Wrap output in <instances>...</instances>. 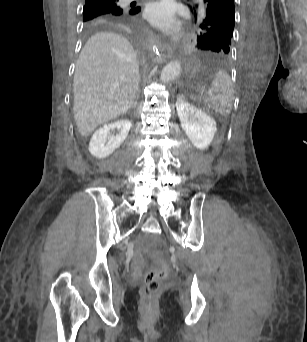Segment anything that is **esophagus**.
Listing matches in <instances>:
<instances>
[{"label": "esophagus", "mask_w": 307, "mask_h": 342, "mask_svg": "<svg viewBox=\"0 0 307 342\" xmlns=\"http://www.w3.org/2000/svg\"><path fill=\"white\" fill-rule=\"evenodd\" d=\"M155 45L161 51L165 58L170 59L173 56V50L169 45H163L160 39H156Z\"/></svg>", "instance_id": "esophagus-1"}]
</instances>
